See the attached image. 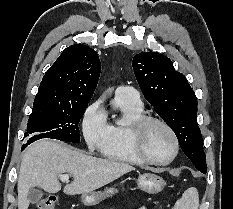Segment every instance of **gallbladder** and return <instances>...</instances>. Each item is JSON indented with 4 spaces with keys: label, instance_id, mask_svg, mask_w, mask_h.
<instances>
[{
    "label": "gallbladder",
    "instance_id": "1",
    "mask_svg": "<svg viewBox=\"0 0 233 209\" xmlns=\"http://www.w3.org/2000/svg\"><path fill=\"white\" fill-rule=\"evenodd\" d=\"M41 197L42 191L39 188L33 187L29 189L27 198L30 203L36 204L41 199Z\"/></svg>",
    "mask_w": 233,
    "mask_h": 209
}]
</instances>
